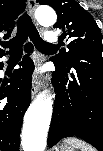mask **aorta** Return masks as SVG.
<instances>
[{
	"label": "aorta",
	"instance_id": "aorta-1",
	"mask_svg": "<svg viewBox=\"0 0 103 151\" xmlns=\"http://www.w3.org/2000/svg\"><path fill=\"white\" fill-rule=\"evenodd\" d=\"M35 18L41 25H53L57 20L55 11L50 7H39L35 11ZM52 97L39 95L29 106L22 130L23 151H44L47 132L52 116Z\"/></svg>",
	"mask_w": 103,
	"mask_h": 151
}]
</instances>
